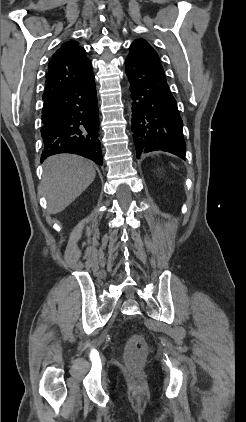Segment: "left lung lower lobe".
<instances>
[{
	"label": "left lung lower lobe",
	"mask_w": 246,
	"mask_h": 422,
	"mask_svg": "<svg viewBox=\"0 0 246 422\" xmlns=\"http://www.w3.org/2000/svg\"><path fill=\"white\" fill-rule=\"evenodd\" d=\"M129 50L125 65L133 100L131 128L137 158L161 150L185 159L183 123L164 72L138 48L130 46Z\"/></svg>",
	"instance_id": "1"
}]
</instances>
